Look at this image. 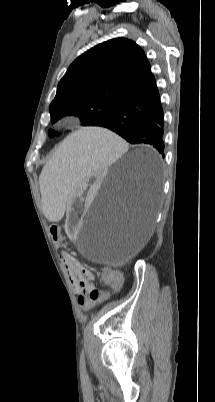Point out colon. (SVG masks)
<instances>
[{
    "mask_svg": "<svg viewBox=\"0 0 215 402\" xmlns=\"http://www.w3.org/2000/svg\"><path fill=\"white\" fill-rule=\"evenodd\" d=\"M50 233L51 236L53 237V245L54 246H62L66 244L65 240H62V234H61V229L59 225L56 224H52L50 226ZM68 268L75 274L78 276H87L88 272L81 266L77 265L76 263H74L73 261L69 260V259H65ZM102 279L105 282H112L113 286L115 289L120 288L122 280H121V276L120 274L115 271V270H111V269H106L101 273ZM105 298V294L99 290L96 289H92L91 291H89V301L91 303H96V302H100ZM79 303L80 304H84L85 300L83 297L79 298Z\"/></svg>",
    "mask_w": 215,
    "mask_h": 402,
    "instance_id": "5ec220e1",
    "label": "colon"
}]
</instances>
